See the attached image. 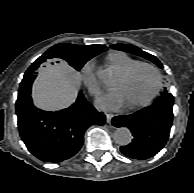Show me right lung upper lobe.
<instances>
[{"label":"right lung upper lobe","instance_id":"obj_1","mask_svg":"<svg viewBox=\"0 0 194 193\" xmlns=\"http://www.w3.org/2000/svg\"><path fill=\"white\" fill-rule=\"evenodd\" d=\"M104 49V45H74V44H57L46 51L41 57H39L26 71L25 81L28 85L32 84L36 78L38 67L44 62H50L51 64L58 63V59L65 60V56L71 53L79 54L84 57L93 58ZM66 61V60H65Z\"/></svg>","mask_w":194,"mask_h":193}]
</instances>
